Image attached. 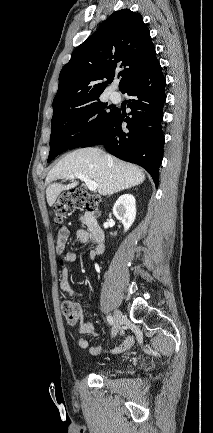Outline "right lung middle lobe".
Listing matches in <instances>:
<instances>
[{"label":"right lung middle lobe","mask_w":213,"mask_h":433,"mask_svg":"<svg viewBox=\"0 0 213 433\" xmlns=\"http://www.w3.org/2000/svg\"><path fill=\"white\" fill-rule=\"evenodd\" d=\"M99 97L69 106L51 120L50 152L48 162L67 149L79 147L84 142L99 134L109 123L114 109ZM82 130V134L72 135Z\"/></svg>","instance_id":"right-lung-middle-lobe-1"}]
</instances>
